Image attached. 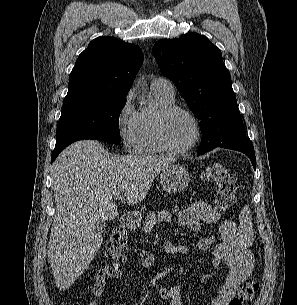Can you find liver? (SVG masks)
Returning <instances> with one entry per match:
<instances>
[{
	"label": "liver",
	"mask_w": 297,
	"mask_h": 305,
	"mask_svg": "<svg viewBox=\"0 0 297 305\" xmlns=\"http://www.w3.org/2000/svg\"><path fill=\"white\" fill-rule=\"evenodd\" d=\"M174 158L111 156L95 140L71 144L53 163L56 213L48 243V260L60 291H65L89 267L103 238L95 232L98 221L113 220L118 207L115 193L127 204L141 202L153 180Z\"/></svg>",
	"instance_id": "1"
}]
</instances>
